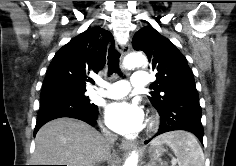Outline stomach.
<instances>
[{
	"label": "stomach",
	"mask_w": 236,
	"mask_h": 166,
	"mask_svg": "<svg viewBox=\"0 0 236 166\" xmlns=\"http://www.w3.org/2000/svg\"><path fill=\"white\" fill-rule=\"evenodd\" d=\"M165 149L162 145H156L151 143L148 154L150 157V161L146 166H162L161 156L164 154Z\"/></svg>",
	"instance_id": "0dacf381"
}]
</instances>
